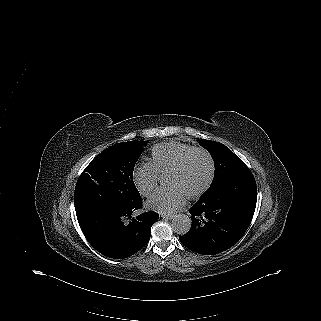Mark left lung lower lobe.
Returning <instances> with one entry per match:
<instances>
[{
  "instance_id": "1",
  "label": "left lung lower lobe",
  "mask_w": 321,
  "mask_h": 321,
  "mask_svg": "<svg viewBox=\"0 0 321 321\" xmlns=\"http://www.w3.org/2000/svg\"><path fill=\"white\" fill-rule=\"evenodd\" d=\"M257 187L251 172L236 175L215 190L206 192L193 205L192 228L179 237L190 250L214 255L235 245L252 220Z\"/></svg>"
}]
</instances>
